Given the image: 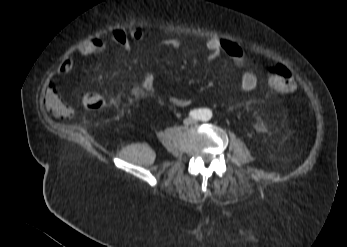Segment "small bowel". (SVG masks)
Wrapping results in <instances>:
<instances>
[{
	"mask_svg": "<svg viewBox=\"0 0 347 247\" xmlns=\"http://www.w3.org/2000/svg\"><path fill=\"white\" fill-rule=\"evenodd\" d=\"M109 37L111 41L122 49L128 50L133 44L142 43L145 39V33L139 27H132L128 32L123 29H114L110 33ZM161 45L177 49L180 47L181 41L177 38H166L161 41ZM205 47L208 51V57L210 60H216L222 55H226L237 68H241L247 63V58L242 48L231 40L211 37L206 40ZM106 50L107 42L103 37H95L82 43L77 48V52L82 56L101 54ZM71 69L72 63L70 60H67L61 64L58 73L60 75H66L71 71ZM257 83V76L251 71H246L240 76L239 86L244 92H250L255 89ZM133 89L140 92L145 91L147 93H154L157 90V79L152 73H148L144 76L142 84ZM45 95L46 107L52 115L58 118H68L73 114V110L60 99L53 86H49L46 89ZM170 103L175 107L183 108L191 104V99L186 97H172Z\"/></svg>",
	"mask_w": 347,
	"mask_h": 247,
	"instance_id": "obj_1",
	"label": "small bowel"
}]
</instances>
